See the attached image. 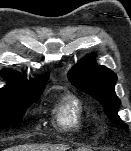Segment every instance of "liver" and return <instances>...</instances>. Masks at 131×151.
I'll return each instance as SVG.
<instances>
[{"label": "liver", "instance_id": "1", "mask_svg": "<svg viewBox=\"0 0 131 151\" xmlns=\"http://www.w3.org/2000/svg\"><path fill=\"white\" fill-rule=\"evenodd\" d=\"M68 146L64 145H53V146H19L9 148L6 151H67Z\"/></svg>", "mask_w": 131, "mask_h": 151}]
</instances>
